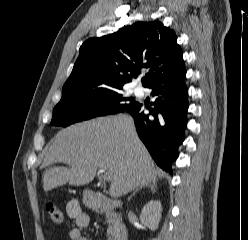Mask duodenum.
Wrapping results in <instances>:
<instances>
[{"label":"duodenum","mask_w":248,"mask_h":240,"mask_svg":"<svg viewBox=\"0 0 248 240\" xmlns=\"http://www.w3.org/2000/svg\"><path fill=\"white\" fill-rule=\"evenodd\" d=\"M119 206V202L105 198L103 193H91L90 207L97 212L103 213ZM114 240H128V231L124 227H119Z\"/></svg>","instance_id":"duodenum-1"}]
</instances>
